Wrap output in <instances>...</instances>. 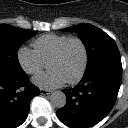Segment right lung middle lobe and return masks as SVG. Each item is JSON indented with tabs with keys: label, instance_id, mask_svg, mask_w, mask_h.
<instances>
[{
	"label": "right lung middle lobe",
	"instance_id": "right-lung-middle-lobe-1",
	"mask_svg": "<svg viewBox=\"0 0 128 128\" xmlns=\"http://www.w3.org/2000/svg\"><path fill=\"white\" fill-rule=\"evenodd\" d=\"M37 31L17 28L8 24H0V71L16 73L22 71L17 51L20 46Z\"/></svg>",
	"mask_w": 128,
	"mask_h": 128
}]
</instances>
